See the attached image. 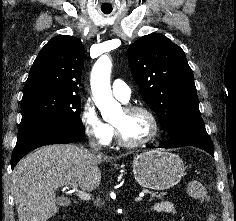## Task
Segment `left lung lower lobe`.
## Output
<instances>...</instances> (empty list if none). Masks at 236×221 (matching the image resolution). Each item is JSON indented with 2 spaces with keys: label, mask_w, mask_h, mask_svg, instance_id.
I'll list each match as a JSON object with an SVG mask.
<instances>
[{
  "label": "left lung lower lobe",
  "mask_w": 236,
  "mask_h": 221,
  "mask_svg": "<svg viewBox=\"0 0 236 221\" xmlns=\"http://www.w3.org/2000/svg\"><path fill=\"white\" fill-rule=\"evenodd\" d=\"M195 146L214 156V147L204 124L185 125L170 133V139L161 147Z\"/></svg>",
  "instance_id": "left-lung-lower-lobe-1"
}]
</instances>
